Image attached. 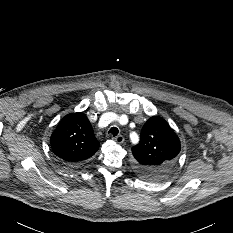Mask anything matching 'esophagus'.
<instances>
[{
	"mask_svg": "<svg viewBox=\"0 0 233 233\" xmlns=\"http://www.w3.org/2000/svg\"><path fill=\"white\" fill-rule=\"evenodd\" d=\"M118 144H122L124 142V137L122 135H117L113 138Z\"/></svg>",
	"mask_w": 233,
	"mask_h": 233,
	"instance_id": "esophagus-1",
	"label": "esophagus"
}]
</instances>
